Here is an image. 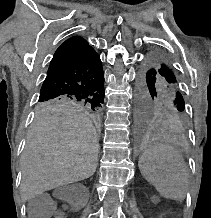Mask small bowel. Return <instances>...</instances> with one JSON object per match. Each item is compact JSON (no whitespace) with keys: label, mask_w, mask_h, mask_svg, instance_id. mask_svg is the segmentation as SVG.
<instances>
[{"label":"small bowel","mask_w":211,"mask_h":218,"mask_svg":"<svg viewBox=\"0 0 211 218\" xmlns=\"http://www.w3.org/2000/svg\"><path fill=\"white\" fill-rule=\"evenodd\" d=\"M56 218H65V212L60 210L55 213Z\"/></svg>","instance_id":"small-bowel-1"}]
</instances>
